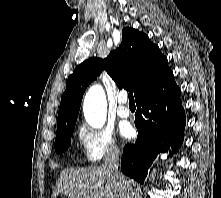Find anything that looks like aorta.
<instances>
[{
    "label": "aorta",
    "mask_w": 221,
    "mask_h": 198,
    "mask_svg": "<svg viewBox=\"0 0 221 198\" xmlns=\"http://www.w3.org/2000/svg\"><path fill=\"white\" fill-rule=\"evenodd\" d=\"M86 122L93 128H101L106 121L107 102L103 88L100 85L90 87L83 103Z\"/></svg>",
    "instance_id": "762f6f07"
}]
</instances>
